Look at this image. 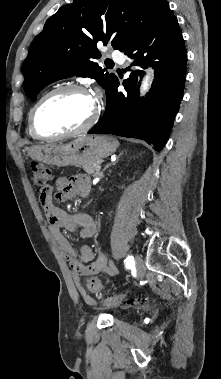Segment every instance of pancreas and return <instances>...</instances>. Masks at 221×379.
I'll use <instances>...</instances> for the list:
<instances>
[{
    "label": "pancreas",
    "instance_id": "obj_1",
    "mask_svg": "<svg viewBox=\"0 0 221 379\" xmlns=\"http://www.w3.org/2000/svg\"><path fill=\"white\" fill-rule=\"evenodd\" d=\"M101 161L96 162H90L83 165V170L88 175H94L99 172L98 167L100 165Z\"/></svg>",
    "mask_w": 221,
    "mask_h": 379
}]
</instances>
